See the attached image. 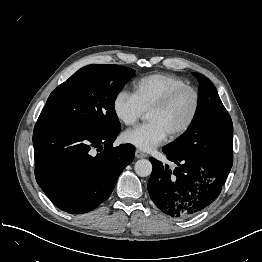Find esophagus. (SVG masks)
<instances>
[{
    "mask_svg": "<svg viewBox=\"0 0 262 262\" xmlns=\"http://www.w3.org/2000/svg\"><path fill=\"white\" fill-rule=\"evenodd\" d=\"M135 157L140 159V158H146L147 157V154L140 151V150H136L135 151Z\"/></svg>",
    "mask_w": 262,
    "mask_h": 262,
    "instance_id": "obj_1",
    "label": "esophagus"
}]
</instances>
